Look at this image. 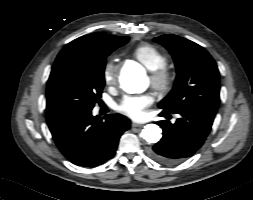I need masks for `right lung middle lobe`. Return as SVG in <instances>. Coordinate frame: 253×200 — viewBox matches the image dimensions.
<instances>
[{
  "instance_id": "obj_1",
  "label": "right lung middle lobe",
  "mask_w": 253,
  "mask_h": 200,
  "mask_svg": "<svg viewBox=\"0 0 253 200\" xmlns=\"http://www.w3.org/2000/svg\"><path fill=\"white\" fill-rule=\"evenodd\" d=\"M128 41L118 37L95 54L58 55L47 82V114L91 111L105 85L106 57Z\"/></svg>"
}]
</instances>
